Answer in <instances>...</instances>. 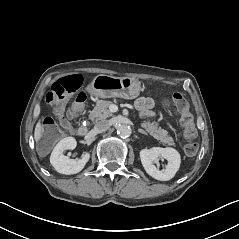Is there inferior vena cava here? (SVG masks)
Segmentation results:
<instances>
[{
  "label": "inferior vena cava",
  "instance_id": "1",
  "mask_svg": "<svg viewBox=\"0 0 239 239\" xmlns=\"http://www.w3.org/2000/svg\"><path fill=\"white\" fill-rule=\"evenodd\" d=\"M110 128V123L108 120H101L96 123L95 130L99 133L106 132Z\"/></svg>",
  "mask_w": 239,
  "mask_h": 239
}]
</instances>
